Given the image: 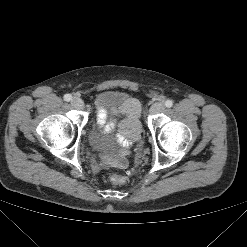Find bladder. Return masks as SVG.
Segmentation results:
<instances>
[{"label":"bladder","instance_id":"obj_1","mask_svg":"<svg viewBox=\"0 0 247 247\" xmlns=\"http://www.w3.org/2000/svg\"><path fill=\"white\" fill-rule=\"evenodd\" d=\"M131 101L132 98L129 95L116 90H105L98 95L97 120L88 135L89 145L94 153L109 154L117 149L118 146L112 141V136L119 128L120 111ZM140 132V126H137L132 133L126 135L129 139H136L140 136Z\"/></svg>","mask_w":247,"mask_h":247}]
</instances>
